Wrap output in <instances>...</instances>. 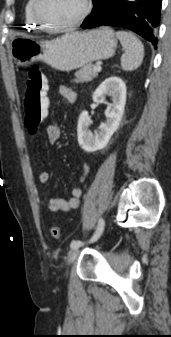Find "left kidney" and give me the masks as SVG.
<instances>
[{"label": "left kidney", "instance_id": "1", "mask_svg": "<svg viewBox=\"0 0 171 337\" xmlns=\"http://www.w3.org/2000/svg\"><path fill=\"white\" fill-rule=\"evenodd\" d=\"M105 95L111 96L112 103L105 110L106 122L101 123L98 133L93 135L88 127L91 119L87 111L80 114L77 126L78 143L86 152H95L105 148L118 129L126 103V85L124 81L112 76L103 81L95 90L92 99L96 103H103Z\"/></svg>", "mask_w": 171, "mask_h": 337}]
</instances>
